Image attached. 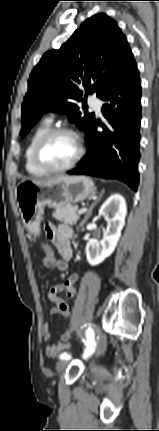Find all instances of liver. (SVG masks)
<instances>
[{
  "mask_svg": "<svg viewBox=\"0 0 159 431\" xmlns=\"http://www.w3.org/2000/svg\"><path fill=\"white\" fill-rule=\"evenodd\" d=\"M45 181H47V180H36V179L32 180V182H35V183H42V182H45Z\"/></svg>",
  "mask_w": 159,
  "mask_h": 431,
  "instance_id": "obj_1",
  "label": "liver"
}]
</instances>
